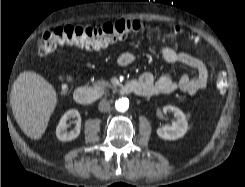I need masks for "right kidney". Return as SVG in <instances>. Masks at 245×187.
I'll use <instances>...</instances> for the list:
<instances>
[{
    "instance_id": "ca27d5eb",
    "label": "right kidney",
    "mask_w": 245,
    "mask_h": 187,
    "mask_svg": "<svg viewBox=\"0 0 245 187\" xmlns=\"http://www.w3.org/2000/svg\"><path fill=\"white\" fill-rule=\"evenodd\" d=\"M71 118L75 119L76 126L73 130L67 131V122ZM81 116L78 110H68L60 119L57 128L56 136L60 141H71L76 139L80 134Z\"/></svg>"
}]
</instances>
